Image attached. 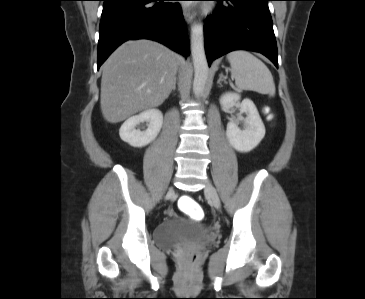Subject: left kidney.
Returning a JSON list of instances; mask_svg holds the SVG:
<instances>
[{
    "label": "left kidney",
    "mask_w": 365,
    "mask_h": 299,
    "mask_svg": "<svg viewBox=\"0 0 365 299\" xmlns=\"http://www.w3.org/2000/svg\"><path fill=\"white\" fill-rule=\"evenodd\" d=\"M220 104L226 111L239 108L241 113H246L245 127H238V120H231L227 124L226 136L229 143L239 152L253 150L264 138L265 127L259 116L256 106L250 99L240 103V96L235 93H226L220 98Z\"/></svg>",
    "instance_id": "obj_1"
}]
</instances>
